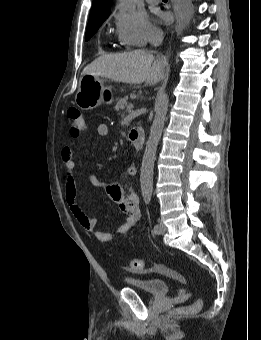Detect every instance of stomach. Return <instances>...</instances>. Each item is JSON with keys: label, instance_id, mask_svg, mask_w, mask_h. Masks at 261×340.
<instances>
[{"label": "stomach", "instance_id": "obj_1", "mask_svg": "<svg viewBox=\"0 0 261 340\" xmlns=\"http://www.w3.org/2000/svg\"><path fill=\"white\" fill-rule=\"evenodd\" d=\"M114 100L112 88L102 78L91 74L80 78L75 103L82 110L94 109L101 104L109 105Z\"/></svg>", "mask_w": 261, "mask_h": 340}]
</instances>
